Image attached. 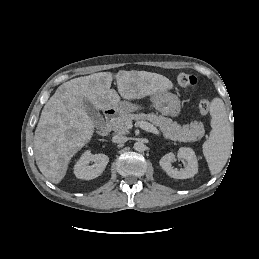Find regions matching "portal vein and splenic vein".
Returning a JSON list of instances; mask_svg holds the SVG:
<instances>
[{"label":"portal vein and splenic vein","instance_id":"obj_1","mask_svg":"<svg viewBox=\"0 0 259 259\" xmlns=\"http://www.w3.org/2000/svg\"><path fill=\"white\" fill-rule=\"evenodd\" d=\"M137 125H138L141 129H143V130H145V131H147V132H151V133H153V134H155V135H160L159 130H158L155 126H153L152 124H150V123H148V122L139 121V122H137Z\"/></svg>","mask_w":259,"mask_h":259}]
</instances>
